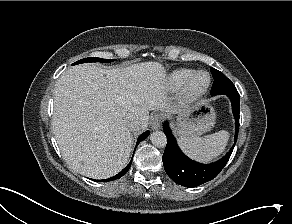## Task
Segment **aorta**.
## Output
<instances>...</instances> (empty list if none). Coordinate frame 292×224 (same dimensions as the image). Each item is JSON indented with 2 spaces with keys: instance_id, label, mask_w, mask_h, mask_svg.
<instances>
[{
  "instance_id": "aorta-1",
  "label": "aorta",
  "mask_w": 292,
  "mask_h": 224,
  "mask_svg": "<svg viewBox=\"0 0 292 224\" xmlns=\"http://www.w3.org/2000/svg\"><path fill=\"white\" fill-rule=\"evenodd\" d=\"M150 140L154 146L159 148L165 147L167 144L166 135L162 131L153 132L150 136Z\"/></svg>"
}]
</instances>
